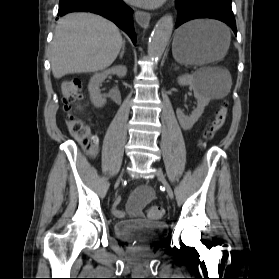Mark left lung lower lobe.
Here are the masks:
<instances>
[{
    "label": "left lung lower lobe",
    "instance_id": "left-lung-lower-lobe-1",
    "mask_svg": "<svg viewBox=\"0 0 279 279\" xmlns=\"http://www.w3.org/2000/svg\"><path fill=\"white\" fill-rule=\"evenodd\" d=\"M177 28L181 24L197 18H212L229 25L235 34L237 28L231 8V0H176Z\"/></svg>",
    "mask_w": 279,
    "mask_h": 279
}]
</instances>
